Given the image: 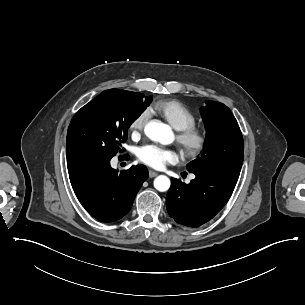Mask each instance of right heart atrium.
I'll use <instances>...</instances> for the list:
<instances>
[{
  "instance_id": "obj_1",
  "label": "right heart atrium",
  "mask_w": 305,
  "mask_h": 305,
  "mask_svg": "<svg viewBox=\"0 0 305 305\" xmlns=\"http://www.w3.org/2000/svg\"><path fill=\"white\" fill-rule=\"evenodd\" d=\"M148 115V110H143L131 120L129 124V132L132 136H136L141 132Z\"/></svg>"
}]
</instances>
